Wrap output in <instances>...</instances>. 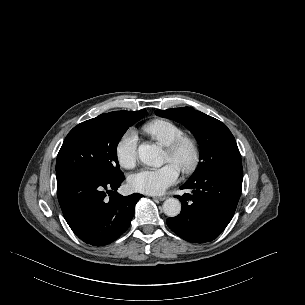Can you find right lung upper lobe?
Masks as SVG:
<instances>
[{
    "mask_svg": "<svg viewBox=\"0 0 305 305\" xmlns=\"http://www.w3.org/2000/svg\"><path fill=\"white\" fill-rule=\"evenodd\" d=\"M115 112H119L124 115H129V114H131L132 111H115Z\"/></svg>",
    "mask_w": 305,
    "mask_h": 305,
    "instance_id": "1",
    "label": "right lung upper lobe"
}]
</instances>
